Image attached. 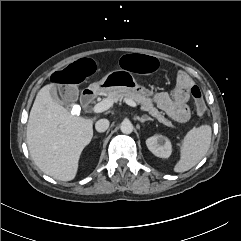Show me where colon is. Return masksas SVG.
Listing matches in <instances>:
<instances>
[{
	"mask_svg": "<svg viewBox=\"0 0 241 241\" xmlns=\"http://www.w3.org/2000/svg\"><path fill=\"white\" fill-rule=\"evenodd\" d=\"M118 67L123 71H136L138 74H152L158 70V60L147 53L132 52L123 54L117 60ZM96 69L95 62L89 57H81L77 62L68 64L59 70L53 71L49 76L50 83L56 87L57 97L63 103H72L78 97L77 88L87 75ZM196 111L203 115L206 106L198 88L192 90Z\"/></svg>",
	"mask_w": 241,
	"mask_h": 241,
	"instance_id": "colon-1",
	"label": "colon"
}]
</instances>
